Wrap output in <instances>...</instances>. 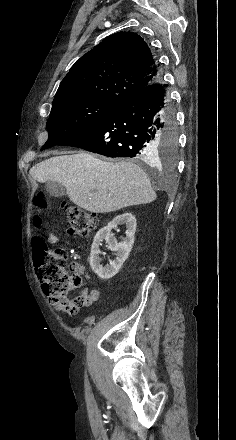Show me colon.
<instances>
[{
  "label": "colon",
  "mask_w": 236,
  "mask_h": 440,
  "mask_svg": "<svg viewBox=\"0 0 236 440\" xmlns=\"http://www.w3.org/2000/svg\"><path fill=\"white\" fill-rule=\"evenodd\" d=\"M45 196L38 194L34 197V206L38 210L46 208ZM66 215L69 223V233L87 235L97 226V217L78 207H67ZM41 218L34 217V225L39 227ZM33 244L40 249L35 261L37 274L42 281V289L52 304L66 313L73 314L82 306L84 299L73 291L82 285L81 274L70 268L67 263V252L64 248L49 250L45 241L36 236Z\"/></svg>",
  "instance_id": "colon-1"
}]
</instances>
